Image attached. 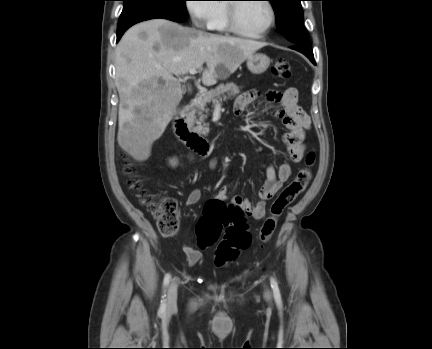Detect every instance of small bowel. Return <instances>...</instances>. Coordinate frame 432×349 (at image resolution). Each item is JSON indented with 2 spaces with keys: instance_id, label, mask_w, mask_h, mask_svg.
<instances>
[{
  "instance_id": "small-bowel-1",
  "label": "small bowel",
  "mask_w": 432,
  "mask_h": 349,
  "mask_svg": "<svg viewBox=\"0 0 432 349\" xmlns=\"http://www.w3.org/2000/svg\"><path fill=\"white\" fill-rule=\"evenodd\" d=\"M259 92L249 90L239 95L235 101L234 111L241 114L245 108L259 97ZM265 99L280 108L274 110L272 114L282 120L287 132L283 136L285 151L293 163L300 162L305 153V131L311 126L310 116L298 105V90L288 88L285 91L271 90L266 92ZM216 157L209 161V168L214 169L217 165ZM291 166L288 163L281 164L277 169L269 166L266 170L265 179L258 191V201L250 202L239 195L232 198V202L241 207L245 216L256 220L262 219L266 214V202L270 200L281 189L283 184L291 176ZM229 195L227 186H222L214 195L213 200L224 202ZM202 197L200 189H193L187 199L186 206L190 207L197 204ZM183 252L190 266L197 264L202 259V253L189 245H184Z\"/></svg>"
}]
</instances>
